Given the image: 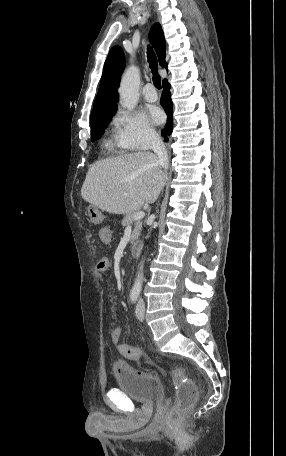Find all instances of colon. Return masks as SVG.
Instances as JSON below:
<instances>
[{
  "instance_id": "obj_1",
  "label": "colon",
  "mask_w": 286,
  "mask_h": 456,
  "mask_svg": "<svg viewBox=\"0 0 286 456\" xmlns=\"http://www.w3.org/2000/svg\"><path fill=\"white\" fill-rule=\"evenodd\" d=\"M122 354L130 359H140L142 349L135 346L125 345L122 348ZM171 381L176 389L175 405L171 409L172 416L190 409L197 397V388L192 382L186 381L179 369H174L171 375Z\"/></svg>"
}]
</instances>
